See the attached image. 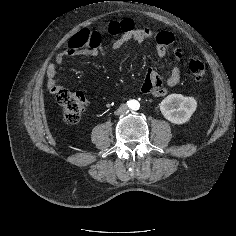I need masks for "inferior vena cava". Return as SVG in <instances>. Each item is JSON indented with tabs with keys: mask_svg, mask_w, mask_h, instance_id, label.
I'll list each match as a JSON object with an SVG mask.
<instances>
[{
	"mask_svg": "<svg viewBox=\"0 0 236 236\" xmlns=\"http://www.w3.org/2000/svg\"><path fill=\"white\" fill-rule=\"evenodd\" d=\"M128 110V107L127 105L125 104H122L120 105V107L115 111V114L116 115H122V114H125Z\"/></svg>",
	"mask_w": 236,
	"mask_h": 236,
	"instance_id": "inferior-vena-cava-1",
	"label": "inferior vena cava"
}]
</instances>
